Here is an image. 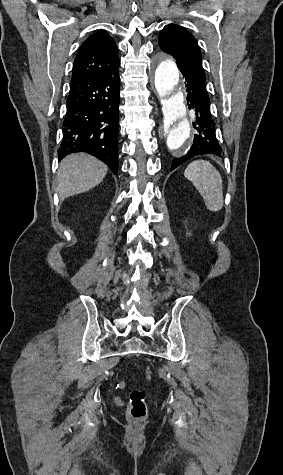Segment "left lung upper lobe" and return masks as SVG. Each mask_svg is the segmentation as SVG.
Returning <instances> with one entry per match:
<instances>
[{"label": "left lung upper lobe", "instance_id": "1", "mask_svg": "<svg viewBox=\"0 0 283 475\" xmlns=\"http://www.w3.org/2000/svg\"><path fill=\"white\" fill-rule=\"evenodd\" d=\"M162 51L171 54L178 68L203 70L201 51L192 34L181 26L169 24L159 36Z\"/></svg>", "mask_w": 283, "mask_h": 475}]
</instances>
